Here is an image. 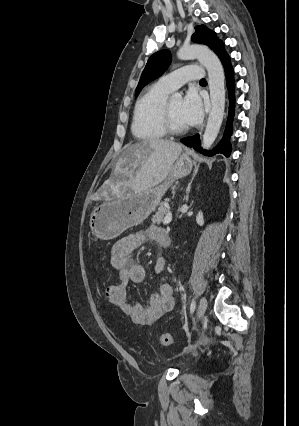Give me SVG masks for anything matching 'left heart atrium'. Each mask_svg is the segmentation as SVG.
I'll return each mask as SVG.
<instances>
[{
  "instance_id": "left-heart-atrium-1",
  "label": "left heart atrium",
  "mask_w": 299,
  "mask_h": 426,
  "mask_svg": "<svg viewBox=\"0 0 299 426\" xmlns=\"http://www.w3.org/2000/svg\"><path fill=\"white\" fill-rule=\"evenodd\" d=\"M181 117L186 125H196L203 117V104L200 96L189 91L181 103Z\"/></svg>"
}]
</instances>
